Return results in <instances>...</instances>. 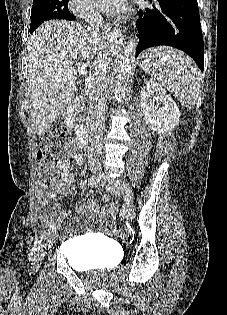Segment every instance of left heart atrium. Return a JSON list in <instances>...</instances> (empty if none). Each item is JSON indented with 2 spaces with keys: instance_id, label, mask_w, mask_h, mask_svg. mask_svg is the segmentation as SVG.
Returning a JSON list of instances; mask_svg holds the SVG:
<instances>
[{
  "instance_id": "39dd6f15",
  "label": "left heart atrium",
  "mask_w": 227,
  "mask_h": 315,
  "mask_svg": "<svg viewBox=\"0 0 227 315\" xmlns=\"http://www.w3.org/2000/svg\"><path fill=\"white\" fill-rule=\"evenodd\" d=\"M96 3L103 12L117 18L127 10V0H96Z\"/></svg>"
}]
</instances>
